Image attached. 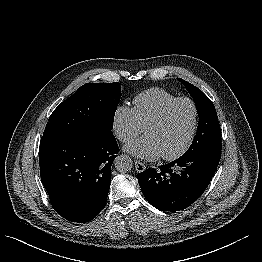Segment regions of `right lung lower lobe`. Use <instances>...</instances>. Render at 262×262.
Returning <instances> with one entry per match:
<instances>
[{
  "instance_id": "98d812e1",
  "label": "right lung lower lobe",
  "mask_w": 262,
  "mask_h": 262,
  "mask_svg": "<svg viewBox=\"0 0 262 262\" xmlns=\"http://www.w3.org/2000/svg\"><path fill=\"white\" fill-rule=\"evenodd\" d=\"M118 152L114 136L42 137L40 176L54 210L73 222L92 220L106 205L111 165Z\"/></svg>"
}]
</instances>
